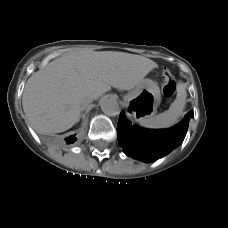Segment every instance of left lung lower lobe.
Masks as SVG:
<instances>
[{"label": "left lung lower lobe", "instance_id": "1", "mask_svg": "<svg viewBox=\"0 0 228 228\" xmlns=\"http://www.w3.org/2000/svg\"><path fill=\"white\" fill-rule=\"evenodd\" d=\"M192 117L190 111L174 127L150 130L131 126L121 112L117 126L118 142L128 156L146 162L157 160L183 142Z\"/></svg>", "mask_w": 228, "mask_h": 228}]
</instances>
